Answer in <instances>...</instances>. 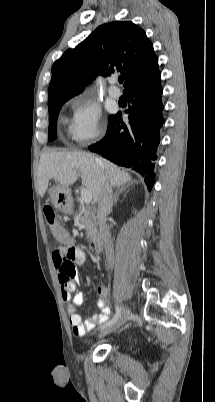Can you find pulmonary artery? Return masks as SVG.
<instances>
[{
    "instance_id": "e3ab8cb5",
    "label": "pulmonary artery",
    "mask_w": 215,
    "mask_h": 402,
    "mask_svg": "<svg viewBox=\"0 0 215 402\" xmlns=\"http://www.w3.org/2000/svg\"><path fill=\"white\" fill-rule=\"evenodd\" d=\"M115 84H116V79L112 78L110 80V86H109L108 92L112 98L119 99L121 97L122 93H121V90L118 87H116Z\"/></svg>"
}]
</instances>
